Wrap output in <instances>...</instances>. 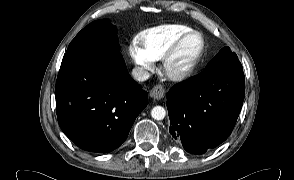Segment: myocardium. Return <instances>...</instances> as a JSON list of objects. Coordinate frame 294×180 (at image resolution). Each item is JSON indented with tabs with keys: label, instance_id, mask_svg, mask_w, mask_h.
Wrapping results in <instances>:
<instances>
[{
	"label": "myocardium",
	"instance_id": "myocardium-1",
	"mask_svg": "<svg viewBox=\"0 0 294 180\" xmlns=\"http://www.w3.org/2000/svg\"><path fill=\"white\" fill-rule=\"evenodd\" d=\"M197 36L200 39V49L197 52V54L194 56L190 64L180 70V71H172L169 68V65L172 61V59L176 56L178 53L179 49L181 46L190 38ZM206 48V43L203 35L197 31V30H192L188 32L187 34L183 35L180 37L162 56L161 62H160V72L162 73L163 76H165L167 79L173 82H182L186 79H188L193 72L195 71L197 65L199 64L200 60L202 59L204 52Z\"/></svg>",
	"mask_w": 294,
	"mask_h": 180
}]
</instances>
